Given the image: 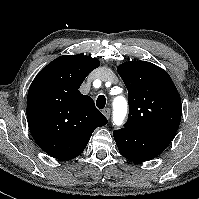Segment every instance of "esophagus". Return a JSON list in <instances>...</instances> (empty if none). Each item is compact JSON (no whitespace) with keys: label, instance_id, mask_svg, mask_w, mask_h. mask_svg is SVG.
<instances>
[{"label":"esophagus","instance_id":"34e87169","mask_svg":"<svg viewBox=\"0 0 199 199\" xmlns=\"http://www.w3.org/2000/svg\"><path fill=\"white\" fill-rule=\"evenodd\" d=\"M102 113L108 119L110 117L111 110L109 108H105L102 110Z\"/></svg>","mask_w":199,"mask_h":199}]
</instances>
